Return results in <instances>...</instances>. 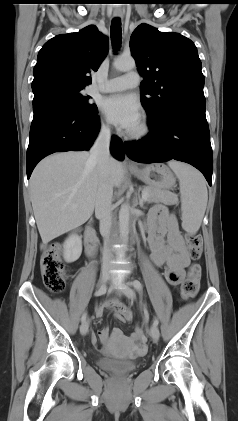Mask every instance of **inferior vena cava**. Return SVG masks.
<instances>
[{
	"label": "inferior vena cava",
	"mask_w": 238,
	"mask_h": 421,
	"mask_svg": "<svg viewBox=\"0 0 238 421\" xmlns=\"http://www.w3.org/2000/svg\"><path fill=\"white\" fill-rule=\"evenodd\" d=\"M111 133L108 126H102L90 150L89 162L96 165L100 182L95 200V215L100 220V233L107 240L112 225L113 186L109 183ZM111 250L106 246L103 254L104 263H109Z\"/></svg>",
	"instance_id": "602c4592"
}]
</instances>
